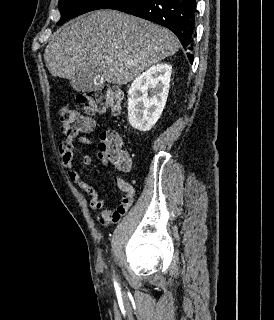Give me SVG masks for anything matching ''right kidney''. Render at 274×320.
I'll return each mask as SVG.
<instances>
[{
    "label": "right kidney",
    "instance_id": "ca27d5eb",
    "mask_svg": "<svg viewBox=\"0 0 274 320\" xmlns=\"http://www.w3.org/2000/svg\"><path fill=\"white\" fill-rule=\"evenodd\" d=\"M172 66L156 64L135 78L128 94V122L139 132H149L167 102ZM151 96H148V94Z\"/></svg>",
    "mask_w": 274,
    "mask_h": 320
}]
</instances>
